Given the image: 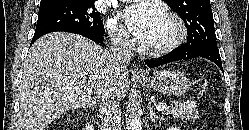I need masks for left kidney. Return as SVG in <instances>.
<instances>
[{"mask_svg": "<svg viewBox=\"0 0 249 130\" xmlns=\"http://www.w3.org/2000/svg\"><path fill=\"white\" fill-rule=\"evenodd\" d=\"M168 130H178V128L171 127V128H168Z\"/></svg>", "mask_w": 249, "mask_h": 130, "instance_id": "5707ae66", "label": "left kidney"}]
</instances>
